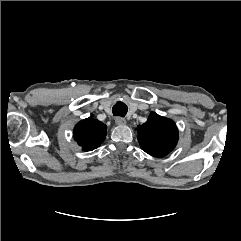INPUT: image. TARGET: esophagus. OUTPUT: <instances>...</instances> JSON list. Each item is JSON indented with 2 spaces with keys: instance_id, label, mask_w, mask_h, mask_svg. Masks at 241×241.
<instances>
[{
  "instance_id": "obj_1",
  "label": "esophagus",
  "mask_w": 241,
  "mask_h": 241,
  "mask_svg": "<svg viewBox=\"0 0 241 241\" xmlns=\"http://www.w3.org/2000/svg\"><path fill=\"white\" fill-rule=\"evenodd\" d=\"M115 123L117 125H125L126 124V120H125V118H122V117H116L115 118Z\"/></svg>"
}]
</instances>
